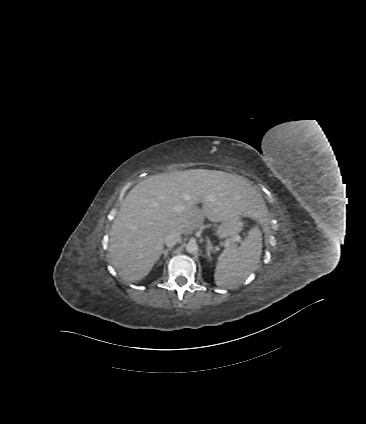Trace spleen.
Masks as SVG:
<instances>
[{
	"label": "spleen",
	"mask_w": 366,
	"mask_h": 424,
	"mask_svg": "<svg viewBox=\"0 0 366 424\" xmlns=\"http://www.w3.org/2000/svg\"><path fill=\"white\" fill-rule=\"evenodd\" d=\"M261 254V231L253 227L239 248L230 246L220 254L214 273L216 285L233 289L242 284L256 269Z\"/></svg>",
	"instance_id": "spleen-1"
}]
</instances>
